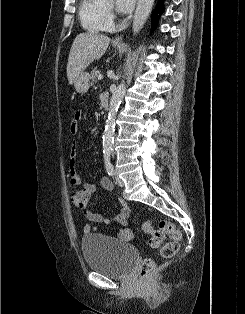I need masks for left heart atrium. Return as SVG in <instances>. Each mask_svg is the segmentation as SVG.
Listing matches in <instances>:
<instances>
[{
	"instance_id": "left-heart-atrium-1",
	"label": "left heart atrium",
	"mask_w": 245,
	"mask_h": 314,
	"mask_svg": "<svg viewBox=\"0 0 245 314\" xmlns=\"http://www.w3.org/2000/svg\"><path fill=\"white\" fill-rule=\"evenodd\" d=\"M136 0H116V8L122 13L130 12Z\"/></svg>"
}]
</instances>
